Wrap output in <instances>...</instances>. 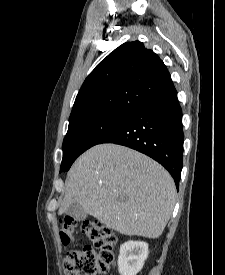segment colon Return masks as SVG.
<instances>
[{
    "label": "colon",
    "instance_id": "5ec220e1",
    "mask_svg": "<svg viewBox=\"0 0 225 275\" xmlns=\"http://www.w3.org/2000/svg\"><path fill=\"white\" fill-rule=\"evenodd\" d=\"M77 222L67 216L61 221L60 239L64 246L74 241ZM81 229L92 243L69 251L63 259L65 275L106 274L115 258L117 238L113 231L98 220H86Z\"/></svg>",
    "mask_w": 225,
    "mask_h": 275
}]
</instances>
